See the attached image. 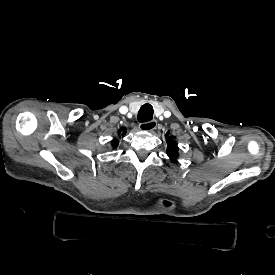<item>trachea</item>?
Returning a JSON list of instances; mask_svg holds the SVG:
<instances>
[{
  "label": "trachea",
  "mask_w": 275,
  "mask_h": 275,
  "mask_svg": "<svg viewBox=\"0 0 275 275\" xmlns=\"http://www.w3.org/2000/svg\"><path fill=\"white\" fill-rule=\"evenodd\" d=\"M153 118V107L150 104L141 106L137 119L140 123L151 121Z\"/></svg>",
  "instance_id": "1"
}]
</instances>
